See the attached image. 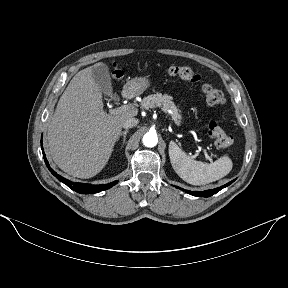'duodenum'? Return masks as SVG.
I'll use <instances>...</instances> for the list:
<instances>
[{
	"label": "duodenum",
	"mask_w": 288,
	"mask_h": 288,
	"mask_svg": "<svg viewBox=\"0 0 288 288\" xmlns=\"http://www.w3.org/2000/svg\"><path fill=\"white\" fill-rule=\"evenodd\" d=\"M130 90L129 89H125L124 91H123V97L124 98H127V97H129L130 96Z\"/></svg>",
	"instance_id": "duodenum-1"
}]
</instances>
